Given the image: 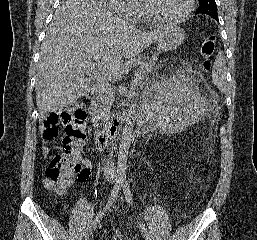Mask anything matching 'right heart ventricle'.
I'll return each instance as SVG.
<instances>
[{
	"instance_id": "right-heart-ventricle-1",
	"label": "right heart ventricle",
	"mask_w": 257,
	"mask_h": 240,
	"mask_svg": "<svg viewBox=\"0 0 257 240\" xmlns=\"http://www.w3.org/2000/svg\"><path fill=\"white\" fill-rule=\"evenodd\" d=\"M138 3H139V5L141 6V9H142V13H141V17L139 19V22L149 24V25L153 24L154 22L148 16L144 3L141 0H139Z\"/></svg>"
}]
</instances>
